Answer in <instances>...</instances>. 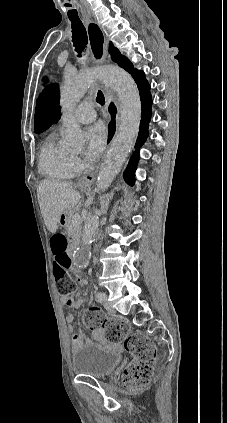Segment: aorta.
Segmentation results:
<instances>
[{
	"label": "aorta",
	"mask_w": 227,
	"mask_h": 423,
	"mask_svg": "<svg viewBox=\"0 0 227 423\" xmlns=\"http://www.w3.org/2000/svg\"><path fill=\"white\" fill-rule=\"evenodd\" d=\"M97 79L103 80L116 90L120 111L118 133L101 165L96 183V191L104 192L119 173L136 141L141 120V102L135 81L126 71L118 67L108 66L66 76L61 87L60 106L64 121V145L67 148L77 149L84 144V135L80 126L72 119V112L89 86ZM98 226L99 216L96 211L88 218L81 243L77 248L75 263L78 268H85L89 264L88 248L96 237Z\"/></svg>",
	"instance_id": "1"
}]
</instances>
